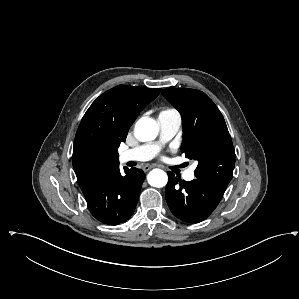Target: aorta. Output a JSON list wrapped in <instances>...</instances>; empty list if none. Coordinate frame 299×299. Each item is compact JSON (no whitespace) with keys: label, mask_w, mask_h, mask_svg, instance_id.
<instances>
[{"label":"aorta","mask_w":299,"mask_h":299,"mask_svg":"<svg viewBox=\"0 0 299 299\" xmlns=\"http://www.w3.org/2000/svg\"><path fill=\"white\" fill-rule=\"evenodd\" d=\"M134 132L139 141H151L157 137L159 127L155 120L143 117L137 121ZM147 180L151 186L161 188L167 184L168 176L161 169H153L148 174Z\"/></svg>","instance_id":"aorta-1"}]
</instances>
